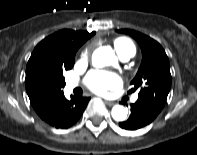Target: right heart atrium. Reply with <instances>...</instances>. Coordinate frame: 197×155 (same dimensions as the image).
Returning <instances> with one entry per match:
<instances>
[{
    "label": "right heart atrium",
    "instance_id": "right-heart-atrium-1",
    "mask_svg": "<svg viewBox=\"0 0 197 155\" xmlns=\"http://www.w3.org/2000/svg\"><path fill=\"white\" fill-rule=\"evenodd\" d=\"M89 53H90L89 49H85V50L83 51V53H82V57H83V58H87V57L89 56Z\"/></svg>",
    "mask_w": 197,
    "mask_h": 155
}]
</instances>
